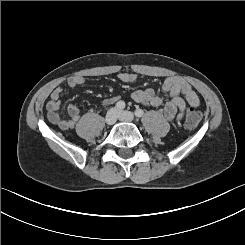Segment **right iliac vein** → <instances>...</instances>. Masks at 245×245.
<instances>
[{"instance_id": "1", "label": "right iliac vein", "mask_w": 245, "mask_h": 245, "mask_svg": "<svg viewBox=\"0 0 245 245\" xmlns=\"http://www.w3.org/2000/svg\"><path fill=\"white\" fill-rule=\"evenodd\" d=\"M117 114H118L117 109L111 108L105 116V123L107 125H113L117 120Z\"/></svg>"}]
</instances>
